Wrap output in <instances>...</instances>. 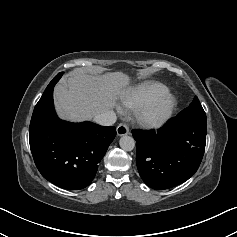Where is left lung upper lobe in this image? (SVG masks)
<instances>
[{"mask_svg": "<svg viewBox=\"0 0 237 237\" xmlns=\"http://www.w3.org/2000/svg\"><path fill=\"white\" fill-rule=\"evenodd\" d=\"M177 117L182 120L207 123L206 114L196 96L193 102L186 109L182 110Z\"/></svg>", "mask_w": 237, "mask_h": 237, "instance_id": "obj_1", "label": "left lung upper lobe"}]
</instances>
